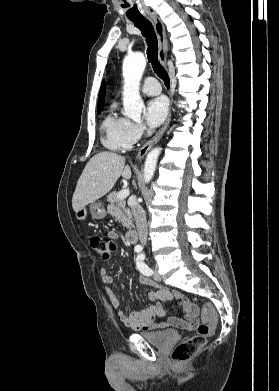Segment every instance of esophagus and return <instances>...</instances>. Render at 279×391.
I'll use <instances>...</instances> for the list:
<instances>
[{
	"mask_svg": "<svg viewBox=\"0 0 279 391\" xmlns=\"http://www.w3.org/2000/svg\"><path fill=\"white\" fill-rule=\"evenodd\" d=\"M151 22L153 23L155 32L157 34L158 38V46H159V61L167 67V37H166V30L163 22L155 12H151L149 16ZM171 121V113H169L166 121L164 122L163 126L159 129V131L155 134V136L146 143L138 152L136 158L138 160L142 159L146 153L150 150V148L159 141V139L162 137L166 129L168 128Z\"/></svg>",
	"mask_w": 279,
	"mask_h": 391,
	"instance_id": "34e87169",
	"label": "esophagus"
}]
</instances>
